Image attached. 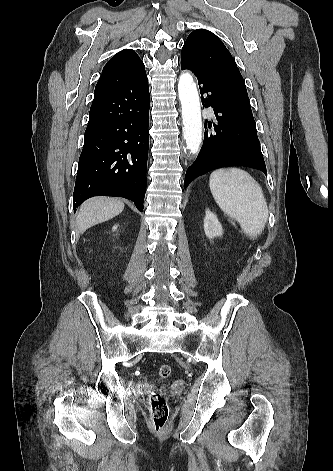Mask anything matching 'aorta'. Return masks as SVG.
<instances>
[{
    "mask_svg": "<svg viewBox=\"0 0 333 471\" xmlns=\"http://www.w3.org/2000/svg\"><path fill=\"white\" fill-rule=\"evenodd\" d=\"M178 94L182 106L183 137L187 149L194 154L202 140V118L196 84L187 72L179 77Z\"/></svg>",
    "mask_w": 333,
    "mask_h": 471,
    "instance_id": "aorta-1",
    "label": "aorta"
}]
</instances>
